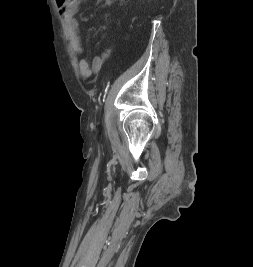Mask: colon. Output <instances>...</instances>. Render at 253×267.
<instances>
[{"label":"colon","instance_id":"5ec220e1","mask_svg":"<svg viewBox=\"0 0 253 267\" xmlns=\"http://www.w3.org/2000/svg\"><path fill=\"white\" fill-rule=\"evenodd\" d=\"M60 6H70L75 3V0H57Z\"/></svg>","mask_w":253,"mask_h":267}]
</instances>
